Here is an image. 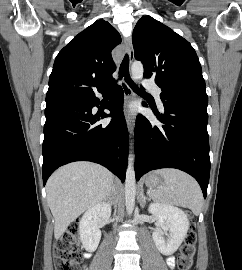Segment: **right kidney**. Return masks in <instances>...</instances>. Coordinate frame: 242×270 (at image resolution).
Listing matches in <instances>:
<instances>
[{"mask_svg":"<svg viewBox=\"0 0 242 270\" xmlns=\"http://www.w3.org/2000/svg\"><path fill=\"white\" fill-rule=\"evenodd\" d=\"M110 213V204L101 202L90 207L82 216L79 222V234L83 247L87 251L92 252L98 247L101 239L98 223L101 218H107Z\"/></svg>","mask_w":242,"mask_h":270,"instance_id":"1","label":"right kidney"}]
</instances>
